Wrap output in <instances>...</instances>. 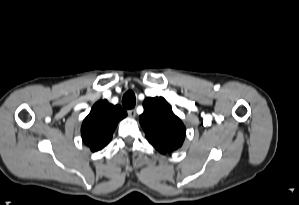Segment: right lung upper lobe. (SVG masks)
Listing matches in <instances>:
<instances>
[{"mask_svg":"<svg viewBox=\"0 0 299 205\" xmlns=\"http://www.w3.org/2000/svg\"><path fill=\"white\" fill-rule=\"evenodd\" d=\"M127 115L121 106H113L106 100L94 104L81 126L83 142L95 152L111 140L118 122Z\"/></svg>","mask_w":299,"mask_h":205,"instance_id":"cb5924a9","label":"right lung upper lobe"}]
</instances>
